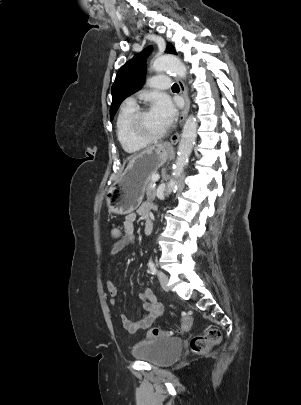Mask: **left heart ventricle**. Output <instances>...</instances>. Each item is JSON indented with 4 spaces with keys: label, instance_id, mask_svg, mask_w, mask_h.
I'll return each instance as SVG.
<instances>
[{
    "label": "left heart ventricle",
    "instance_id": "1",
    "mask_svg": "<svg viewBox=\"0 0 301 405\" xmlns=\"http://www.w3.org/2000/svg\"><path fill=\"white\" fill-rule=\"evenodd\" d=\"M167 125L151 110L146 112L141 120V130L149 135L162 132Z\"/></svg>",
    "mask_w": 301,
    "mask_h": 405
}]
</instances>
